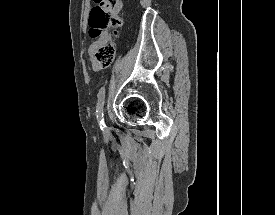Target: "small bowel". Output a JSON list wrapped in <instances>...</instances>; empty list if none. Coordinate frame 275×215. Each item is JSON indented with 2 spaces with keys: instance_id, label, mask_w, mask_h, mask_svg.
<instances>
[{
  "instance_id": "1",
  "label": "small bowel",
  "mask_w": 275,
  "mask_h": 215,
  "mask_svg": "<svg viewBox=\"0 0 275 215\" xmlns=\"http://www.w3.org/2000/svg\"><path fill=\"white\" fill-rule=\"evenodd\" d=\"M97 44H98V41L95 40V41H93V42L89 45L88 54H89V59H90V61L93 63L94 69H95V70H100V69H101V66H98V65L95 63V57H94V53H95V51H96Z\"/></svg>"
}]
</instances>
